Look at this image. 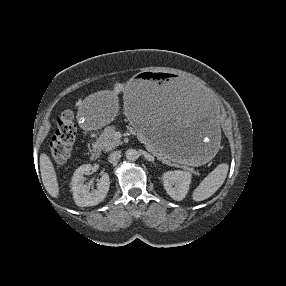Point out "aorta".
Instances as JSON below:
<instances>
[{"label":"aorta","mask_w":286,"mask_h":286,"mask_svg":"<svg viewBox=\"0 0 286 286\" xmlns=\"http://www.w3.org/2000/svg\"><path fill=\"white\" fill-rule=\"evenodd\" d=\"M125 156H126L127 160L135 161L138 159L139 153L136 149L130 148L126 151Z\"/></svg>","instance_id":"1"}]
</instances>
